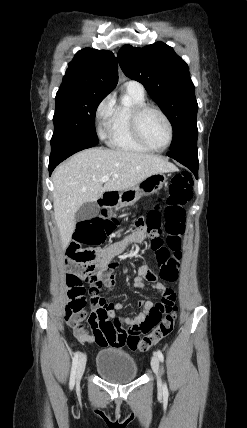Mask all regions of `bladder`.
<instances>
[{
    "label": "bladder",
    "instance_id": "1",
    "mask_svg": "<svg viewBox=\"0 0 247 428\" xmlns=\"http://www.w3.org/2000/svg\"><path fill=\"white\" fill-rule=\"evenodd\" d=\"M95 368L102 378L115 384L129 383L138 376V365L134 357L119 348L101 350L97 355Z\"/></svg>",
    "mask_w": 247,
    "mask_h": 428
}]
</instances>
